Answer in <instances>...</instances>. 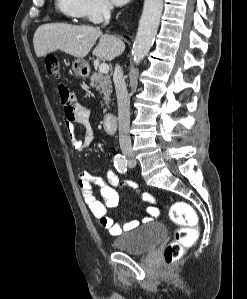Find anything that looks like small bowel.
<instances>
[{
    "label": "small bowel",
    "mask_w": 247,
    "mask_h": 299,
    "mask_svg": "<svg viewBox=\"0 0 247 299\" xmlns=\"http://www.w3.org/2000/svg\"><path fill=\"white\" fill-rule=\"evenodd\" d=\"M58 92L63 105L64 126L70 138L71 145L75 152L81 153L93 143L95 138L90 121V110L82 106L74 93H72L65 85H59ZM76 125L82 127V137H79L76 134ZM94 185L99 187L103 201L98 200L94 195ZM120 185V179L117 173L112 169L107 171L105 179L96 177L87 171H82L78 177V187L86 205L92 214L99 220L101 226L113 236L120 235L123 230H132L139 225L138 220H132L121 227L115 219L108 216V211L117 208L119 205L120 198L117 192V187ZM130 186L133 189H137L135 184H130ZM137 194L140 200L151 204L155 203V198L151 194ZM146 211L149 216L144 219L145 222L151 221L154 217L159 215V210L154 206L147 207Z\"/></svg>",
    "instance_id": "1"
}]
</instances>
